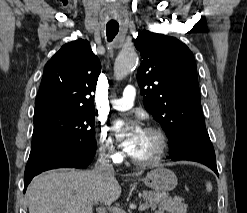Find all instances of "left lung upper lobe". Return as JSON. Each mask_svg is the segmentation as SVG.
<instances>
[{
	"label": "left lung upper lobe",
	"instance_id": "5c2ea615",
	"mask_svg": "<svg viewBox=\"0 0 247 213\" xmlns=\"http://www.w3.org/2000/svg\"><path fill=\"white\" fill-rule=\"evenodd\" d=\"M135 47L143 61L137 80L146 110L161 124L169 149L192 129H206L194 56L174 37L139 32Z\"/></svg>",
	"mask_w": 247,
	"mask_h": 213
}]
</instances>
